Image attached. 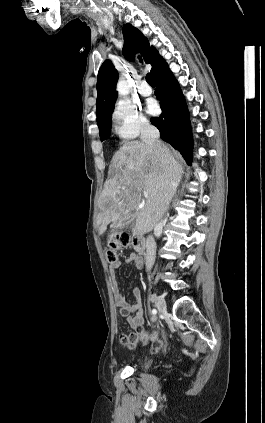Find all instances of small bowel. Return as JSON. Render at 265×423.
<instances>
[{"label":"small bowel","instance_id":"1","mask_svg":"<svg viewBox=\"0 0 265 423\" xmlns=\"http://www.w3.org/2000/svg\"><path fill=\"white\" fill-rule=\"evenodd\" d=\"M125 263H133L137 269H141L143 266L142 259L136 255L131 254ZM123 265V261L118 260L109 266V274L112 280V293L116 306L119 309V317L124 319L130 327L132 332L128 335H122L120 337V343L128 348H133L139 340H146L152 343V350L158 352L165 347V341L161 337L162 333L157 332L150 334L144 330L145 318L141 304V294L139 287L133 288V296L135 302L129 303L125 296H123L119 290L118 283L116 281V271Z\"/></svg>","mask_w":265,"mask_h":423}]
</instances>
